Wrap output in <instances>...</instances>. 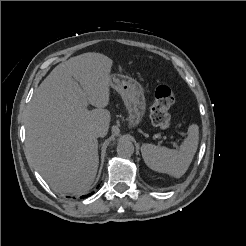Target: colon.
<instances>
[{
    "label": "colon",
    "mask_w": 246,
    "mask_h": 246,
    "mask_svg": "<svg viewBox=\"0 0 246 246\" xmlns=\"http://www.w3.org/2000/svg\"><path fill=\"white\" fill-rule=\"evenodd\" d=\"M176 101L175 91L172 87L161 85L156 88L155 100L150 110L152 123L160 128H167L171 125V118L168 110Z\"/></svg>",
    "instance_id": "1"
}]
</instances>
